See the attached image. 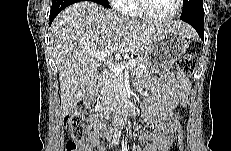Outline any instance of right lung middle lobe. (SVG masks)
<instances>
[{
    "instance_id": "1",
    "label": "right lung middle lobe",
    "mask_w": 231,
    "mask_h": 151,
    "mask_svg": "<svg viewBox=\"0 0 231 151\" xmlns=\"http://www.w3.org/2000/svg\"><path fill=\"white\" fill-rule=\"evenodd\" d=\"M104 2H106V3H108V1L107 0H103Z\"/></svg>"
}]
</instances>
